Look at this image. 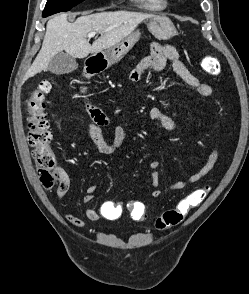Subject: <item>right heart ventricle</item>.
Masks as SVG:
<instances>
[{
    "label": "right heart ventricle",
    "mask_w": 249,
    "mask_h": 294,
    "mask_svg": "<svg viewBox=\"0 0 249 294\" xmlns=\"http://www.w3.org/2000/svg\"><path fill=\"white\" fill-rule=\"evenodd\" d=\"M140 8L150 11L162 10L166 7V0H132Z\"/></svg>",
    "instance_id": "1"
}]
</instances>
